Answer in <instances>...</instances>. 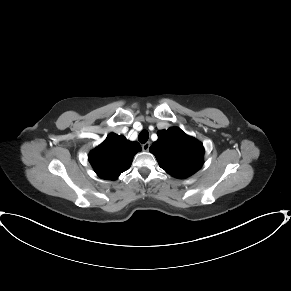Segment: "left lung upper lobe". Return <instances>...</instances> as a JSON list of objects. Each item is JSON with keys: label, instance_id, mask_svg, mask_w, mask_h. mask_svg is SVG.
<instances>
[{"label": "left lung upper lobe", "instance_id": "1", "mask_svg": "<svg viewBox=\"0 0 291 291\" xmlns=\"http://www.w3.org/2000/svg\"><path fill=\"white\" fill-rule=\"evenodd\" d=\"M158 140L150 147L159 166L175 178H187L203 165L204 148L195 138L180 128L157 132Z\"/></svg>", "mask_w": 291, "mask_h": 291}]
</instances>
